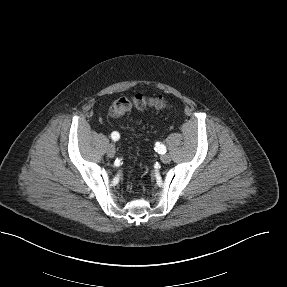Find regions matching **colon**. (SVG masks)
<instances>
[{
  "label": "colon",
  "mask_w": 287,
  "mask_h": 287,
  "mask_svg": "<svg viewBox=\"0 0 287 287\" xmlns=\"http://www.w3.org/2000/svg\"><path fill=\"white\" fill-rule=\"evenodd\" d=\"M167 106L168 101L165 97H147L142 94H136L132 97H121L114 100L110 107V115L118 118L126 114L132 108H166Z\"/></svg>",
  "instance_id": "obj_1"
}]
</instances>
